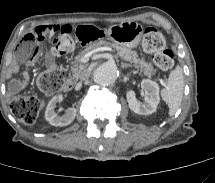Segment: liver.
Listing matches in <instances>:
<instances>
[{
	"mask_svg": "<svg viewBox=\"0 0 215 183\" xmlns=\"http://www.w3.org/2000/svg\"><path fill=\"white\" fill-rule=\"evenodd\" d=\"M43 106H44V102L42 101V102H41V107H43Z\"/></svg>",
	"mask_w": 215,
	"mask_h": 183,
	"instance_id": "1",
	"label": "liver"
}]
</instances>
